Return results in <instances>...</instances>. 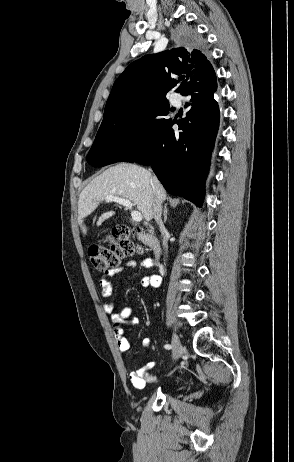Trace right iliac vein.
Wrapping results in <instances>:
<instances>
[{
    "instance_id": "obj_1",
    "label": "right iliac vein",
    "mask_w": 294,
    "mask_h": 462,
    "mask_svg": "<svg viewBox=\"0 0 294 462\" xmlns=\"http://www.w3.org/2000/svg\"><path fill=\"white\" fill-rule=\"evenodd\" d=\"M172 346H173V349H172L173 360L176 361L181 357L182 351H183L181 341L176 334H173Z\"/></svg>"
}]
</instances>
